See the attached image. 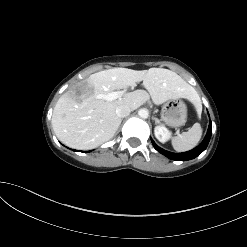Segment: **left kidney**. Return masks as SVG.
I'll return each mask as SVG.
<instances>
[{
  "mask_svg": "<svg viewBox=\"0 0 247 247\" xmlns=\"http://www.w3.org/2000/svg\"><path fill=\"white\" fill-rule=\"evenodd\" d=\"M154 134L158 141H160L161 143L167 142L171 135L169 130L164 126H156L154 128Z\"/></svg>",
  "mask_w": 247,
  "mask_h": 247,
  "instance_id": "5707ae66",
  "label": "left kidney"
}]
</instances>
